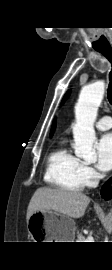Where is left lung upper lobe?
I'll return each instance as SVG.
<instances>
[{
	"instance_id": "left-lung-upper-lobe-1",
	"label": "left lung upper lobe",
	"mask_w": 112,
	"mask_h": 270,
	"mask_svg": "<svg viewBox=\"0 0 112 270\" xmlns=\"http://www.w3.org/2000/svg\"><path fill=\"white\" fill-rule=\"evenodd\" d=\"M69 93H70V91L66 93V95L64 96L63 102H64V100L69 96ZM63 102H62V103H63Z\"/></svg>"
}]
</instances>
